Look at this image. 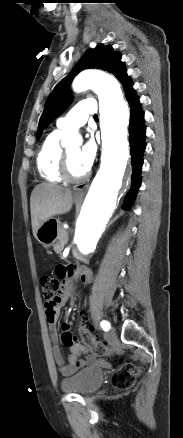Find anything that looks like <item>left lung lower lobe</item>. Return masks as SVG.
Instances as JSON below:
<instances>
[{
  "label": "left lung lower lobe",
  "instance_id": "0a47b994",
  "mask_svg": "<svg viewBox=\"0 0 183 438\" xmlns=\"http://www.w3.org/2000/svg\"><path fill=\"white\" fill-rule=\"evenodd\" d=\"M133 83L129 81L125 86L126 98L130 104V124H129V140L132 159V184L127 193L123 205V209H127L130 202L135 197L141 183V168L143 164V152L145 150V125L144 112L141 109L139 98L133 89Z\"/></svg>",
  "mask_w": 183,
  "mask_h": 438
}]
</instances>
